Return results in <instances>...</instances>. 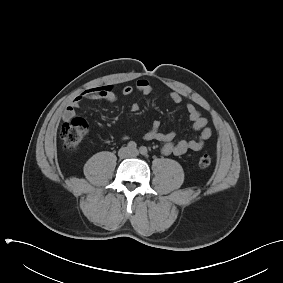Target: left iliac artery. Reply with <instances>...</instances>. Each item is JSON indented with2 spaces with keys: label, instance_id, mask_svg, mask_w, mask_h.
Returning <instances> with one entry per match:
<instances>
[{
  "label": "left iliac artery",
  "instance_id": "obj_1",
  "mask_svg": "<svg viewBox=\"0 0 283 283\" xmlns=\"http://www.w3.org/2000/svg\"><path fill=\"white\" fill-rule=\"evenodd\" d=\"M139 151H140V153H141L142 155H144V156H147V155H148V150H147V148H146L145 146H141V147L139 148Z\"/></svg>",
  "mask_w": 283,
  "mask_h": 283
}]
</instances>
